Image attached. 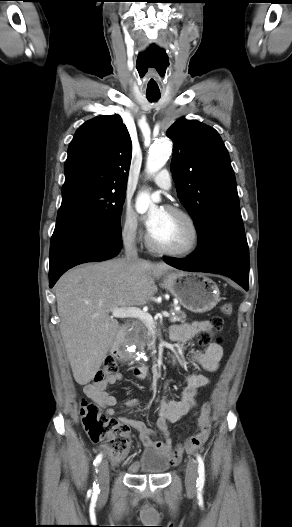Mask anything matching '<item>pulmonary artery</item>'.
Masks as SVG:
<instances>
[{"label":"pulmonary artery","mask_w":292,"mask_h":527,"mask_svg":"<svg viewBox=\"0 0 292 527\" xmlns=\"http://www.w3.org/2000/svg\"><path fill=\"white\" fill-rule=\"evenodd\" d=\"M152 181L163 190H169L172 186L171 176L165 169L157 173Z\"/></svg>","instance_id":"1"}]
</instances>
